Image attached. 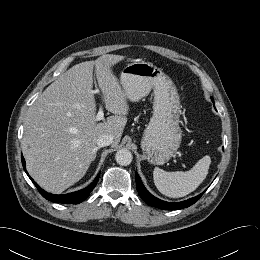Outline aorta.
Instances as JSON below:
<instances>
[{
    "instance_id": "obj_1",
    "label": "aorta",
    "mask_w": 260,
    "mask_h": 260,
    "mask_svg": "<svg viewBox=\"0 0 260 260\" xmlns=\"http://www.w3.org/2000/svg\"><path fill=\"white\" fill-rule=\"evenodd\" d=\"M115 159L119 165L127 166L132 162L133 156L131 151L122 148L116 152Z\"/></svg>"
}]
</instances>
